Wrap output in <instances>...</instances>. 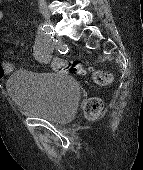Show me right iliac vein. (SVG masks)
Returning a JSON list of instances; mask_svg holds the SVG:
<instances>
[{"label":"right iliac vein","instance_id":"obj_1","mask_svg":"<svg viewBox=\"0 0 143 170\" xmlns=\"http://www.w3.org/2000/svg\"><path fill=\"white\" fill-rule=\"evenodd\" d=\"M43 17H44V19H45V21L47 22V23H49V24H52L53 22H52V19H51V17H50V14L48 13V12H43Z\"/></svg>","mask_w":143,"mask_h":170}]
</instances>
